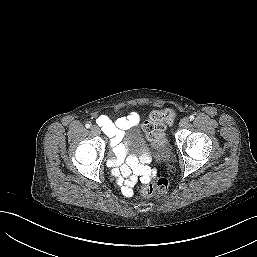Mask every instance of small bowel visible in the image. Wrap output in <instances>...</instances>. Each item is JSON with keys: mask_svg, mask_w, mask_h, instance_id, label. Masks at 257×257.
<instances>
[{"mask_svg": "<svg viewBox=\"0 0 257 257\" xmlns=\"http://www.w3.org/2000/svg\"><path fill=\"white\" fill-rule=\"evenodd\" d=\"M139 121V115L137 112H131L127 116L120 117L115 121L110 120L105 115H99L96 119L97 124L102 130L111 138V145L115 154V158L111 165L114 167V173L123 183L124 178H127L134 171L137 177L142 182H146L152 176V171L145 166L137 163L136 159H130L128 163H123L126 156V148L121 144L124 137V131L136 124ZM144 161L148 160L147 153L142 154ZM125 194H131L132 190L129 187H125Z\"/></svg>", "mask_w": 257, "mask_h": 257, "instance_id": "c3829d8e", "label": "small bowel"}]
</instances>
